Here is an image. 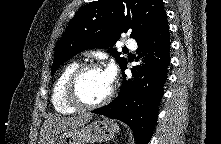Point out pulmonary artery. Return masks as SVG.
Segmentation results:
<instances>
[{"mask_svg":"<svg viewBox=\"0 0 221 144\" xmlns=\"http://www.w3.org/2000/svg\"><path fill=\"white\" fill-rule=\"evenodd\" d=\"M125 45H126L127 47H129L130 49H135L136 46H137L135 40L132 39V38L126 39Z\"/></svg>","mask_w":221,"mask_h":144,"instance_id":"obj_1","label":"pulmonary artery"}]
</instances>
